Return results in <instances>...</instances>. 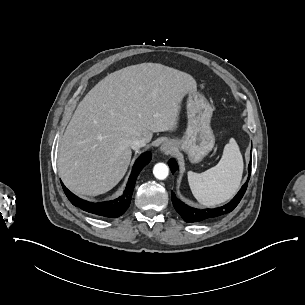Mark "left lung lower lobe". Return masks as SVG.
Returning <instances> with one entry per match:
<instances>
[{
  "label": "left lung lower lobe",
  "instance_id": "0a47b994",
  "mask_svg": "<svg viewBox=\"0 0 305 305\" xmlns=\"http://www.w3.org/2000/svg\"><path fill=\"white\" fill-rule=\"evenodd\" d=\"M168 164L170 166L171 171L174 173L178 167L176 161L174 159H170ZM248 171H249V175L247 182L242 186L241 190L228 204L214 209H204V210L195 209L185 205L183 202L177 199L174 192H172V202L176 211L181 215V217L184 219L185 222H190V223L207 220L231 212L239 204L240 200L242 199L247 189L248 181L251 174V161L248 166Z\"/></svg>",
  "mask_w": 305,
  "mask_h": 305
}]
</instances>
